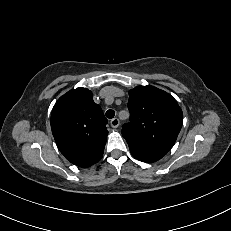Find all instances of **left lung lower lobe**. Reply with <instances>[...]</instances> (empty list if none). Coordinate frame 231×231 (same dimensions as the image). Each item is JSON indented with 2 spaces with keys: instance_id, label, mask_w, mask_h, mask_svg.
Instances as JSON below:
<instances>
[{
  "instance_id": "0a47b994",
  "label": "left lung lower lobe",
  "mask_w": 231,
  "mask_h": 231,
  "mask_svg": "<svg viewBox=\"0 0 231 231\" xmlns=\"http://www.w3.org/2000/svg\"><path fill=\"white\" fill-rule=\"evenodd\" d=\"M135 158H137L138 160L140 161H143V162H155V160H151V159H148V158H144V157H140V156H137L135 154H132Z\"/></svg>"
}]
</instances>
